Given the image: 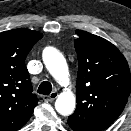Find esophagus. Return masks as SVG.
I'll return each mask as SVG.
<instances>
[{"label": "esophagus", "instance_id": "1", "mask_svg": "<svg viewBox=\"0 0 131 131\" xmlns=\"http://www.w3.org/2000/svg\"><path fill=\"white\" fill-rule=\"evenodd\" d=\"M58 97V93L56 91H53L50 95L43 96V100L46 102H51L55 100Z\"/></svg>", "mask_w": 131, "mask_h": 131}]
</instances>
